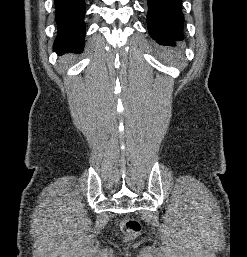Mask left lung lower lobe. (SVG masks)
<instances>
[{"instance_id":"0a47b994","label":"left lung lower lobe","mask_w":247,"mask_h":257,"mask_svg":"<svg viewBox=\"0 0 247 257\" xmlns=\"http://www.w3.org/2000/svg\"><path fill=\"white\" fill-rule=\"evenodd\" d=\"M181 1L148 0V31L159 44L174 46L183 40Z\"/></svg>"}]
</instances>
